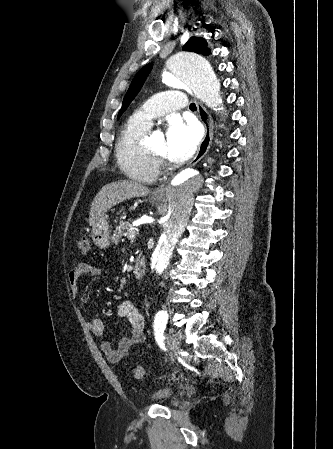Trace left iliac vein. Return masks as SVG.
<instances>
[{
    "label": "left iliac vein",
    "instance_id": "left-iliac-vein-1",
    "mask_svg": "<svg viewBox=\"0 0 333 449\" xmlns=\"http://www.w3.org/2000/svg\"><path fill=\"white\" fill-rule=\"evenodd\" d=\"M180 335L178 333H169L167 336V342L169 344L170 349L177 353L180 351Z\"/></svg>",
    "mask_w": 333,
    "mask_h": 449
}]
</instances>
